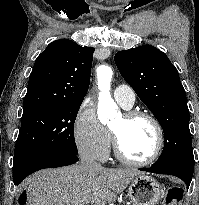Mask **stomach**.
I'll return each mask as SVG.
<instances>
[{"label":"stomach","instance_id":"0dacf381","mask_svg":"<svg viewBox=\"0 0 199 205\" xmlns=\"http://www.w3.org/2000/svg\"><path fill=\"white\" fill-rule=\"evenodd\" d=\"M164 194V186L147 175L134 177L128 191V197L133 205H156Z\"/></svg>","mask_w":199,"mask_h":205}]
</instances>
